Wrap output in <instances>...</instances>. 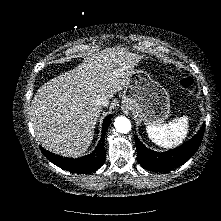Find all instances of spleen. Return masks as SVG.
<instances>
[{
  "mask_svg": "<svg viewBox=\"0 0 221 221\" xmlns=\"http://www.w3.org/2000/svg\"><path fill=\"white\" fill-rule=\"evenodd\" d=\"M188 117L183 116L169 123L148 125V137L158 146L172 148L183 142L188 133Z\"/></svg>",
  "mask_w": 221,
  "mask_h": 221,
  "instance_id": "spleen-1",
  "label": "spleen"
}]
</instances>
